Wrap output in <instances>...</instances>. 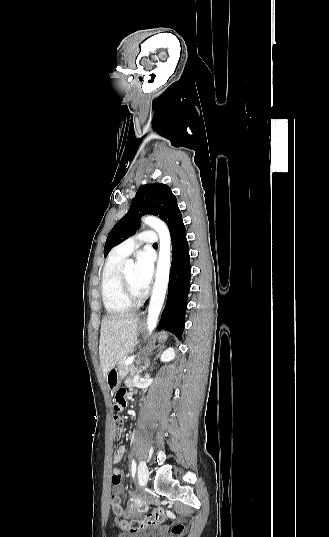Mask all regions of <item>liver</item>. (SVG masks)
I'll use <instances>...</instances> for the list:
<instances>
[{"mask_svg":"<svg viewBox=\"0 0 329 537\" xmlns=\"http://www.w3.org/2000/svg\"><path fill=\"white\" fill-rule=\"evenodd\" d=\"M138 322L139 318L133 314L110 315L102 319L99 359L104 376L136 345Z\"/></svg>","mask_w":329,"mask_h":537,"instance_id":"6515ba94","label":"liver"}]
</instances>
